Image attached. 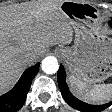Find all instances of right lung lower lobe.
I'll use <instances>...</instances> for the list:
<instances>
[{
  "label": "right lung lower lobe",
  "mask_w": 112,
  "mask_h": 112,
  "mask_svg": "<svg viewBox=\"0 0 112 112\" xmlns=\"http://www.w3.org/2000/svg\"><path fill=\"white\" fill-rule=\"evenodd\" d=\"M38 68L39 64L28 68L14 88L0 96V112H16L22 107L29 91L31 81L39 70Z\"/></svg>",
  "instance_id": "right-lung-lower-lobe-1"
}]
</instances>
